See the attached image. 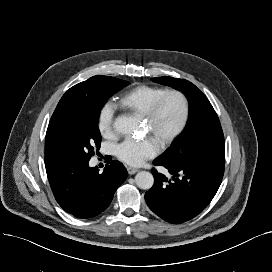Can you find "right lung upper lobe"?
Wrapping results in <instances>:
<instances>
[{
    "mask_svg": "<svg viewBox=\"0 0 272 272\" xmlns=\"http://www.w3.org/2000/svg\"><path fill=\"white\" fill-rule=\"evenodd\" d=\"M103 77L104 76H93L88 80L81 82L67 90L66 93L62 96L61 100L59 101L50 121L56 118L63 111L73 106H76L83 100L89 98L90 95L95 90V88L99 85ZM53 162L58 161L48 155H45L46 165Z\"/></svg>",
    "mask_w": 272,
    "mask_h": 272,
    "instance_id": "1",
    "label": "right lung upper lobe"
}]
</instances>
